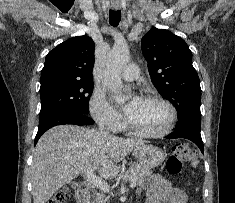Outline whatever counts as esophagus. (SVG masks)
<instances>
[{
  "mask_svg": "<svg viewBox=\"0 0 235 203\" xmlns=\"http://www.w3.org/2000/svg\"><path fill=\"white\" fill-rule=\"evenodd\" d=\"M112 8L114 10H119L121 7H120V5L118 3H112Z\"/></svg>",
  "mask_w": 235,
  "mask_h": 203,
  "instance_id": "1",
  "label": "esophagus"
}]
</instances>
